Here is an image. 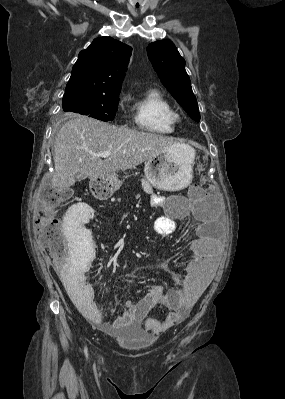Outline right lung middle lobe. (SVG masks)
Returning <instances> with one entry per match:
<instances>
[{
	"mask_svg": "<svg viewBox=\"0 0 285 399\" xmlns=\"http://www.w3.org/2000/svg\"><path fill=\"white\" fill-rule=\"evenodd\" d=\"M119 94H99V93H75L64 94L63 110L102 121L113 120L117 111L119 102Z\"/></svg>",
	"mask_w": 285,
	"mask_h": 399,
	"instance_id": "dd1d6c3e",
	"label": "right lung middle lobe"
}]
</instances>
